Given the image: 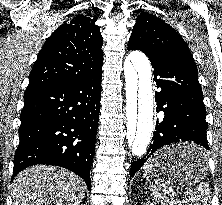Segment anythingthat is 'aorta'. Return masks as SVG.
Wrapping results in <instances>:
<instances>
[{"label":"aorta","instance_id":"1","mask_svg":"<svg viewBox=\"0 0 222 205\" xmlns=\"http://www.w3.org/2000/svg\"><path fill=\"white\" fill-rule=\"evenodd\" d=\"M126 81L127 133L126 151L133 158H142L153 132V89L151 66L146 55L132 51L124 63Z\"/></svg>","mask_w":222,"mask_h":205}]
</instances>
